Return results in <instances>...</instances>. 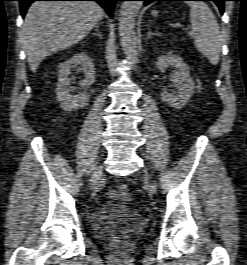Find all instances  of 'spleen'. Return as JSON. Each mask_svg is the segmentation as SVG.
<instances>
[{
	"label": "spleen",
	"mask_w": 247,
	"mask_h": 265,
	"mask_svg": "<svg viewBox=\"0 0 247 265\" xmlns=\"http://www.w3.org/2000/svg\"><path fill=\"white\" fill-rule=\"evenodd\" d=\"M190 7L191 30L188 35L194 39L196 49L211 64L219 62L222 39L219 24L209 6L201 1L186 2Z\"/></svg>",
	"instance_id": "obj_1"
}]
</instances>
